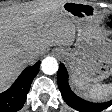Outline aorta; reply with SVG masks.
<instances>
[{
	"mask_svg": "<svg viewBox=\"0 0 112 112\" xmlns=\"http://www.w3.org/2000/svg\"><path fill=\"white\" fill-rule=\"evenodd\" d=\"M58 63L54 57H46L41 62V70L46 75H53L58 71Z\"/></svg>",
	"mask_w": 112,
	"mask_h": 112,
	"instance_id": "762f6f07",
	"label": "aorta"
}]
</instances>
